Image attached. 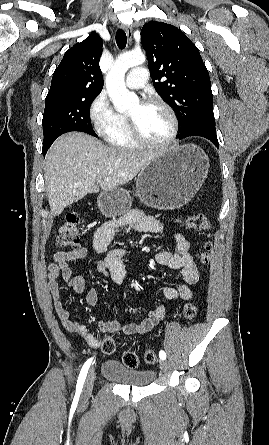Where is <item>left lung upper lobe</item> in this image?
Here are the masks:
<instances>
[{
    "label": "left lung upper lobe",
    "mask_w": 269,
    "mask_h": 445,
    "mask_svg": "<svg viewBox=\"0 0 269 445\" xmlns=\"http://www.w3.org/2000/svg\"><path fill=\"white\" fill-rule=\"evenodd\" d=\"M156 91L176 111L179 137L196 129H215L208 70L199 50L177 27L151 21L141 30ZM166 78L161 82V78Z\"/></svg>",
    "instance_id": "obj_1"
}]
</instances>
